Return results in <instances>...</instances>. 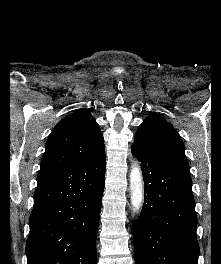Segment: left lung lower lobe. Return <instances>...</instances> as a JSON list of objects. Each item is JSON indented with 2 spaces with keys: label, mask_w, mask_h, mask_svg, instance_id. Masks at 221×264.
Segmentation results:
<instances>
[{
  "label": "left lung lower lobe",
  "mask_w": 221,
  "mask_h": 264,
  "mask_svg": "<svg viewBox=\"0 0 221 264\" xmlns=\"http://www.w3.org/2000/svg\"><path fill=\"white\" fill-rule=\"evenodd\" d=\"M142 166L145 201L134 224L135 264H198L197 217L189 168L132 145Z\"/></svg>",
  "instance_id": "1"
}]
</instances>
